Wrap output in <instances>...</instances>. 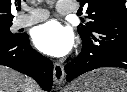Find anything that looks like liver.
Here are the masks:
<instances>
[{
	"label": "liver",
	"mask_w": 127,
	"mask_h": 92,
	"mask_svg": "<svg viewBox=\"0 0 127 92\" xmlns=\"http://www.w3.org/2000/svg\"><path fill=\"white\" fill-rule=\"evenodd\" d=\"M29 78L13 69L0 65V92H26ZM33 92H43L36 84Z\"/></svg>",
	"instance_id": "1"
}]
</instances>
